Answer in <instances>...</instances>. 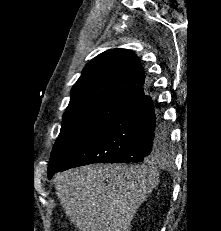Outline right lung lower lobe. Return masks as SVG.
Returning <instances> with one entry per match:
<instances>
[{
    "label": "right lung lower lobe",
    "instance_id": "1",
    "mask_svg": "<svg viewBox=\"0 0 221 231\" xmlns=\"http://www.w3.org/2000/svg\"><path fill=\"white\" fill-rule=\"evenodd\" d=\"M169 138L156 116L152 98L145 94L116 112L97 133L53 174L92 163H130L163 155Z\"/></svg>",
    "mask_w": 221,
    "mask_h": 231
}]
</instances>
